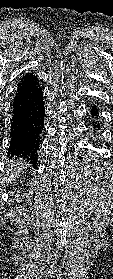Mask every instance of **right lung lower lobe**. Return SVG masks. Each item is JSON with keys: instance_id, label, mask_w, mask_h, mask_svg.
<instances>
[{"instance_id": "obj_1", "label": "right lung lower lobe", "mask_w": 113, "mask_h": 279, "mask_svg": "<svg viewBox=\"0 0 113 279\" xmlns=\"http://www.w3.org/2000/svg\"><path fill=\"white\" fill-rule=\"evenodd\" d=\"M44 115L43 91L39 80L28 72L20 80L13 102L8 155L27 158L36 165Z\"/></svg>"}]
</instances>
